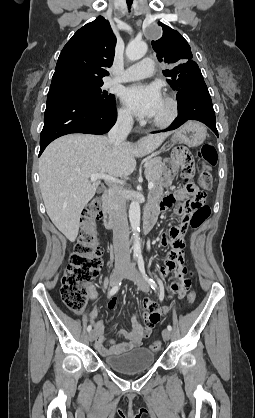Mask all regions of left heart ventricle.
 Segmentation results:
<instances>
[{
  "label": "left heart ventricle",
  "mask_w": 255,
  "mask_h": 418,
  "mask_svg": "<svg viewBox=\"0 0 255 418\" xmlns=\"http://www.w3.org/2000/svg\"><path fill=\"white\" fill-rule=\"evenodd\" d=\"M167 112H168V106L165 100L163 99V102L160 108L158 109L157 113L155 114L154 118L164 117L167 114Z\"/></svg>",
  "instance_id": "left-heart-ventricle-1"
}]
</instances>
